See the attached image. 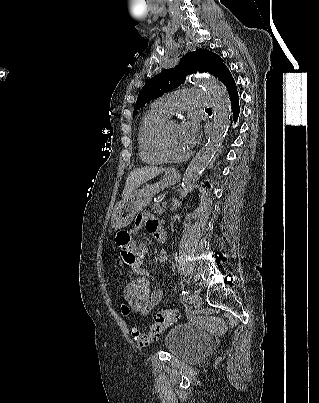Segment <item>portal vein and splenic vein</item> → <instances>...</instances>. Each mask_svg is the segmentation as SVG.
<instances>
[{"mask_svg": "<svg viewBox=\"0 0 319 403\" xmlns=\"http://www.w3.org/2000/svg\"><path fill=\"white\" fill-rule=\"evenodd\" d=\"M162 205H163V206H166V205H167V202H166V201L162 202Z\"/></svg>", "mask_w": 319, "mask_h": 403, "instance_id": "18ae733b", "label": "portal vein and splenic vein"}]
</instances>
